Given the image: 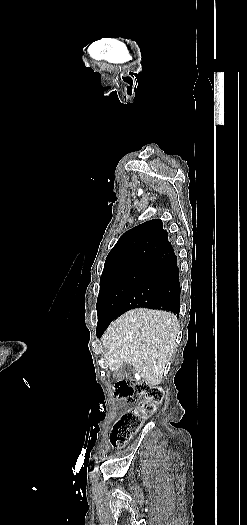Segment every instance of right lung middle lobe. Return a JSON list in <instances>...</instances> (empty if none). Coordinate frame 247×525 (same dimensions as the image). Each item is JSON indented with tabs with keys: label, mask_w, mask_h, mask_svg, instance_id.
<instances>
[{
	"label": "right lung middle lobe",
	"mask_w": 247,
	"mask_h": 525,
	"mask_svg": "<svg viewBox=\"0 0 247 525\" xmlns=\"http://www.w3.org/2000/svg\"><path fill=\"white\" fill-rule=\"evenodd\" d=\"M154 259L148 256L136 265L117 271H103L100 278V292L97 299V326H106L119 316L117 310L136 281L146 271Z\"/></svg>",
	"instance_id": "obj_1"
}]
</instances>
